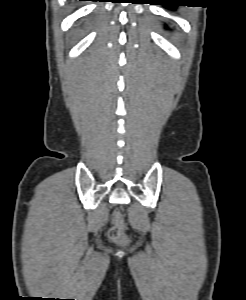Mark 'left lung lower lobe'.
I'll return each mask as SVG.
<instances>
[{"label":"left lung lower lobe","mask_w":246,"mask_h":300,"mask_svg":"<svg viewBox=\"0 0 246 300\" xmlns=\"http://www.w3.org/2000/svg\"><path fill=\"white\" fill-rule=\"evenodd\" d=\"M165 6L168 7V8L172 7L174 9L177 5L165 4Z\"/></svg>","instance_id":"0a47b994"}]
</instances>
